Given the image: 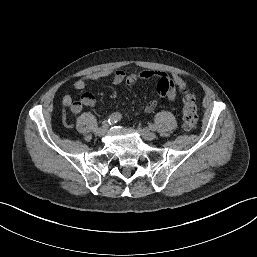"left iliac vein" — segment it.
<instances>
[{"instance_id":"1","label":"left iliac vein","mask_w":257,"mask_h":257,"mask_svg":"<svg viewBox=\"0 0 257 257\" xmlns=\"http://www.w3.org/2000/svg\"><path fill=\"white\" fill-rule=\"evenodd\" d=\"M137 131L145 140L151 141L156 138V134L148 129H142L139 127L137 128Z\"/></svg>"}]
</instances>
